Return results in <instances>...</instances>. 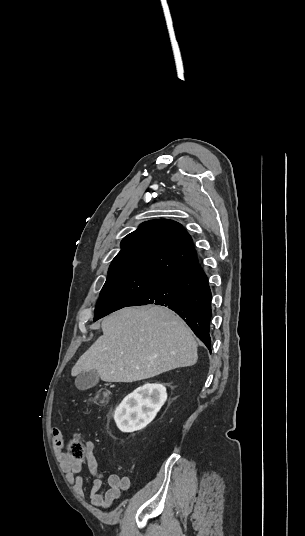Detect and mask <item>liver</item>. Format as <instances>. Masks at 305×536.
Wrapping results in <instances>:
<instances>
[{"mask_svg":"<svg viewBox=\"0 0 305 536\" xmlns=\"http://www.w3.org/2000/svg\"><path fill=\"white\" fill-rule=\"evenodd\" d=\"M101 326L103 336L80 356L71 376L97 370L103 382H137L197 362L190 328L164 306L123 308Z\"/></svg>","mask_w":305,"mask_h":536,"instance_id":"6515ba94","label":"liver"}]
</instances>
